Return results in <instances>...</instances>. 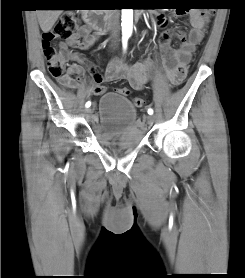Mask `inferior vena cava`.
<instances>
[{"label":"inferior vena cava","instance_id":"1","mask_svg":"<svg viewBox=\"0 0 245 278\" xmlns=\"http://www.w3.org/2000/svg\"><path fill=\"white\" fill-rule=\"evenodd\" d=\"M112 37H113L114 39H117V37H118V28H117V27H114V28L112 29Z\"/></svg>","mask_w":245,"mask_h":278}]
</instances>
